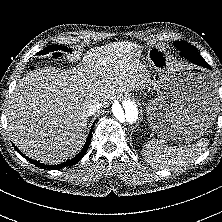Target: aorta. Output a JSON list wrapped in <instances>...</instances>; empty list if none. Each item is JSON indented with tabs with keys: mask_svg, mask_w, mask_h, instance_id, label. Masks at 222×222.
I'll return each instance as SVG.
<instances>
[{
	"mask_svg": "<svg viewBox=\"0 0 222 222\" xmlns=\"http://www.w3.org/2000/svg\"><path fill=\"white\" fill-rule=\"evenodd\" d=\"M113 118L120 125L135 123L139 118V109L136 101L131 98H125L121 103L114 102L111 107Z\"/></svg>",
	"mask_w": 222,
	"mask_h": 222,
	"instance_id": "762f6f07",
	"label": "aorta"
}]
</instances>
